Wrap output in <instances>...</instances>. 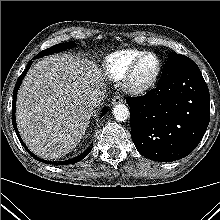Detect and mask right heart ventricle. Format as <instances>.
<instances>
[{
  "instance_id": "1",
  "label": "right heart ventricle",
  "mask_w": 220,
  "mask_h": 220,
  "mask_svg": "<svg viewBox=\"0 0 220 220\" xmlns=\"http://www.w3.org/2000/svg\"><path fill=\"white\" fill-rule=\"evenodd\" d=\"M146 51L138 49H124L113 52L103 60L104 74L111 80L123 78L133 61Z\"/></svg>"
}]
</instances>
